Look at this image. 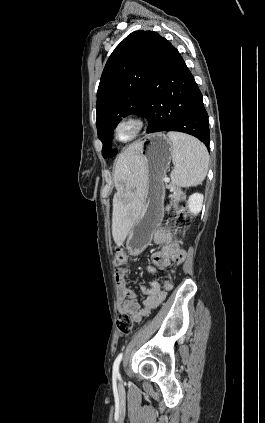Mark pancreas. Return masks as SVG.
Returning a JSON list of instances; mask_svg holds the SVG:
<instances>
[{
	"label": "pancreas",
	"instance_id": "cf45deb5",
	"mask_svg": "<svg viewBox=\"0 0 265 423\" xmlns=\"http://www.w3.org/2000/svg\"><path fill=\"white\" fill-rule=\"evenodd\" d=\"M168 187L172 191V195L171 196L175 199L174 200V203L177 202V201H179L180 196H181L180 190L178 188L174 187L172 184H170Z\"/></svg>",
	"mask_w": 265,
	"mask_h": 423
}]
</instances>
